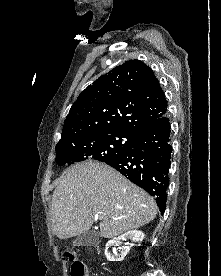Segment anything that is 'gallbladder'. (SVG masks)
<instances>
[{"label":"gallbladder","mask_w":221,"mask_h":276,"mask_svg":"<svg viewBox=\"0 0 221 276\" xmlns=\"http://www.w3.org/2000/svg\"><path fill=\"white\" fill-rule=\"evenodd\" d=\"M99 243V237L95 231H88L82 233L76 237L73 241L74 245L78 246H88V245H96Z\"/></svg>","instance_id":"gallbladder-1"}]
</instances>
